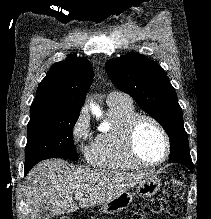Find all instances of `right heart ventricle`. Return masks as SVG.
Listing matches in <instances>:
<instances>
[{
	"label": "right heart ventricle",
	"instance_id": "right-heart-ventricle-1",
	"mask_svg": "<svg viewBox=\"0 0 211 219\" xmlns=\"http://www.w3.org/2000/svg\"><path fill=\"white\" fill-rule=\"evenodd\" d=\"M108 130L97 134L88 144L86 159L89 164L112 170H132L138 166L128 157L124 135L128 122L137 115L132 102L108 103Z\"/></svg>",
	"mask_w": 211,
	"mask_h": 219
}]
</instances>
